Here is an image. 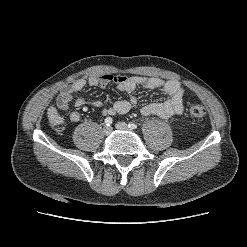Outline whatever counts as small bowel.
<instances>
[{
	"mask_svg": "<svg viewBox=\"0 0 247 247\" xmlns=\"http://www.w3.org/2000/svg\"><path fill=\"white\" fill-rule=\"evenodd\" d=\"M110 83L116 84L117 88L122 93L128 95V98L118 100L110 107H104L102 109V114L104 116L127 113L137 102L136 97L132 94L139 87L149 90H161L166 95V99L163 102H151L144 105L141 108V113L143 115H155L167 119L175 115H180L184 111V88L177 81H164L159 78L140 76L103 74L92 76L88 79L80 78L67 84L47 110V117L50 124L55 127L64 124L65 118L60 114V111L67 110L69 104L74 100L75 94L81 91L85 86L89 85L102 88ZM74 104L76 107L91 105L96 108H101L103 106V103L98 99L89 100L85 98H76ZM69 119L71 122H78L80 120L79 112L72 111L69 114Z\"/></svg>",
	"mask_w": 247,
	"mask_h": 247,
	"instance_id": "obj_1",
	"label": "small bowel"
}]
</instances>
